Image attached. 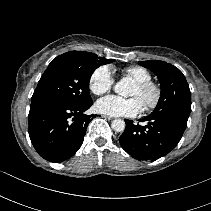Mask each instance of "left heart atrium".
Returning <instances> with one entry per match:
<instances>
[{"label": "left heart atrium", "mask_w": 211, "mask_h": 211, "mask_svg": "<svg viewBox=\"0 0 211 211\" xmlns=\"http://www.w3.org/2000/svg\"><path fill=\"white\" fill-rule=\"evenodd\" d=\"M98 112L110 116H135L142 109V103L138 98L125 99L110 95L99 99L96 102Z\"/></svg>", "instance_id": "obj_1"}]
</instances>
